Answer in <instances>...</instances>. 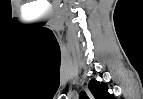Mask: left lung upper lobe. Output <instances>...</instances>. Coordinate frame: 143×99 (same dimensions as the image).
I'll return each instance as SVG.
<instances>
[{
    "mask_svg": "<svg viewBox=\"0 0 143 99\" xmlns=\"http://www.w3.org/2000/svg\"><path fill=\"white\" fill-rule=\"evenodd\" d=\"M89 90L95 99H115L114 95L108 93V86L106 83L91 80L89 82ZM80 99H88L85 92L80 93Z\"/></svg>",
    "mask_w": 143,
    "mask_h": 99,
    "instance_id": "left-lung-upper-lobe-1",
    "label": "left lung upper lobe"
}]
</instances>
